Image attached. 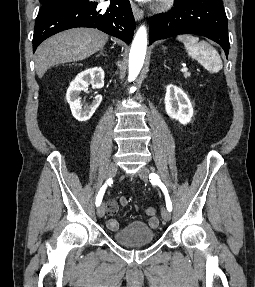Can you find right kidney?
<instances>
[{"label": "right kidney", "instance_id": "1", "mask_svg": "<svg viewBox=\"0 0 255 287\" xmlns=\"http://www.w3.org/2000/svg\"><path fill=\"white\" fill-rule=\"evenodd\" d=\"M104 76L105 74L102 68H89V70L80 72L75 80H72L67 90L66 100L74 118H76L78 122H87V120H90L102 102V96H95L91 106H84V108H82L79 98L81 90H85L89 84H92L95 88H103Z\"/></svg>", "mask_w": 255, "mask_h": 287}]
</instances>
